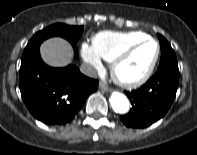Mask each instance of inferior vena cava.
<instances>
[{
  "label": "inferior vena cava",
  "instance_id": "1",
  "mask_svg": "<svg viewBox=\"0 0 197 155\" xmlns=\"http://www.w3.org/2000/svg\"><path fill=\"white\" fill-rule=\"evenodd\" d=\"M80 71L81 73H83L84 75L88 77L95 78L97 76L96 69L89 64H82L80 67Z\"/></svg>",
  "mask_w": 197,
  "mask_h": 155
}]
</instances>
